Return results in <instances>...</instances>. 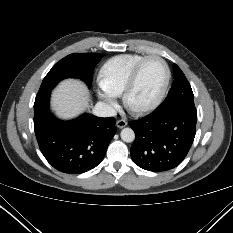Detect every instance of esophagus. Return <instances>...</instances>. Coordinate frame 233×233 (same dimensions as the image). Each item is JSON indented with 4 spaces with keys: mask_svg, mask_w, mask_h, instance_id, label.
<instances>
[{
    "mask_svg": "<svg viewBox=\"0 0 233 233\" xmlns=\"http://www.w3.org/2000/svg\"><path fill=\"white\" fill-rule=\"evenodd\" d=\"M116 126L118 128H124L125 126H127V122L123 119H120L116 122Z\"/></svg>",
    "mask_w": 233,
    "mask_h": 233,
    "instance_id": "34e87169",
    "label": "esophagus"
}]
</instances>
